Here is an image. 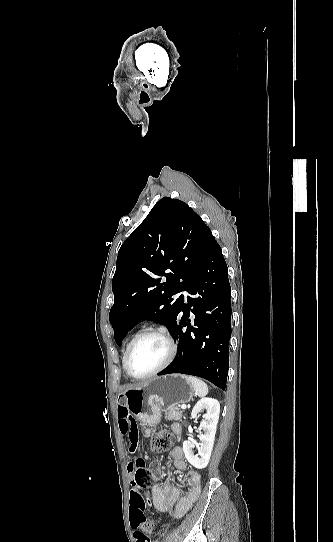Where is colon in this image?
<instances>
[{"label":"colon","instance_id":"1","mask_svg":"<svg viewBox=\"0 0 333 542\" xmlns=\"http://www.w3.org/2000/svg\"><path fill=\"white\" fill-rule=\"evenodd\" d=\"M174 435L170 432L159 430L152 435L151 448L155 453L167 451L173 447ZM133 468L130 473V478L135 479L137 483H129L127 490L129 494H134L133 502L135 505H131L129 513L131 522L135 525H144V533H139L137 537L138 542H149L148 534L153 530V525L149 522V517L146 512L151 506V502L144 501V494H148L149 487L156 483V475L151 470L145 468V462L138 458H134L130 462Z\"/></svg>","mask_w":333,"mask_h":542}]
</instances>
